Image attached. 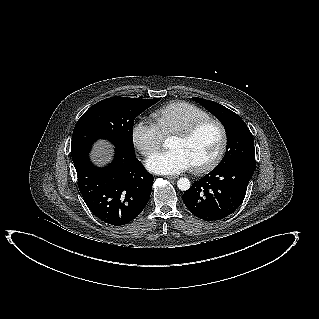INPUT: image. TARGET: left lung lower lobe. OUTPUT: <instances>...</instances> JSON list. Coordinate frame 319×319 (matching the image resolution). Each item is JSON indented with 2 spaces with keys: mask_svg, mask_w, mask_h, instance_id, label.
I'll return each mask as SVG.
<instances>
[{
  "mask_svg": "<svg viewBox=\"0 0 319 319\" xmlns=\"http://www.w3.org/2000/svg\"><path fill=\"white\" fill-rule=\"evenodd\" d=\"M254 170L255 166L241 162L215 167L184 192V204L200 219L226 218L243 202Z\"/></svg>",
  "mask_w": 319,
  "mask_h": 319,
  "instance_id": "1",
  "label": "left lung lower lobe"
}]
</instances>
